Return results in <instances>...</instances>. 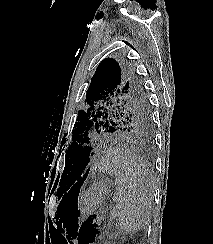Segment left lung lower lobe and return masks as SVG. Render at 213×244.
I'll return each instance as SVG.
<instances>
[{
  "instance_id": "obj_1",
  "label": "left lung lower lobe",
  "mask_w": 213,
  "mask_h": 244,
  "mask_svg": "<svg viewBox=\"0 0 213 244\" xmlns=\"http://www.w3.org/2000/svg\"><path fill=\"white\" fill-rule=\"evenodd\" d=\"M89 156H90V155H89ZM89 156H88V158H86V160L84 161V164H83V168H84V170H83L82 174L80 175V179L76 182L75 186H79V187H80V186L83 184V182H84V180L86 179V177H87L89 168H88L87 170H86L85 168H86L87 164H88L89 161H90Z\"/></svg>"
}]
</instances>
